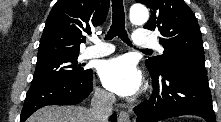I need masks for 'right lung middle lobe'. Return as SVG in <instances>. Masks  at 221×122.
Listing matches in <instances>:
<instances>
[{
	"mask_svg": "<svg viewBox=\"0 0 221 122\" xmlns=\"http://www.w3.org/2000/svg\"><path fill=\"white\" fill-rule=\"evenodd\" d=\"M78 55H58L38 59L32 84L83 78L90 69H84L78 64Z\"/></svg>",
	"mask_w": 221,
	"mask_h": 122,
	"instance_id": "obj_1",
	"label": "right lung middle lobe"
}]
</instances>
